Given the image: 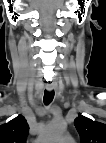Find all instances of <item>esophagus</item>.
Masks as SVG:
<instances>
[{
	"instance_id": "esophagus-1",
	"label": "esophagus",
	"mask_w": 106,
	"mask_h": 143,
	"mask_svg": "<svg viewBox=\"0 0 106 143\" xmlns=\"http://www.w3.org/2000/svg\"><path fill=\"white\" fill-rule=\"evenodd\" d=\"M46 89H47V91L52 92L56 89V87L54 85H47Z\"/></svg>"
}]
</instances>
